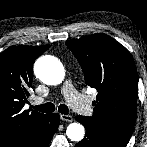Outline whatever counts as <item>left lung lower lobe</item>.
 I'll return each mask as SVG.
<instances>
[{"label":"left lung lower lobe","instance_id":"left-lung-lower-lobe-1","mask_svg":"<svg viewBox=\"0 0 147 147\" xmlns=\"http://www.w3.org/2000/svg\"><path fill=\"white\" fill-rule=\"evenodd\" d=\"M75 119L85 126L86 135L75 147H126L117 143L102 129L92 125L85 116H76Z\"/></svg>","mask_w":147,"mask_h":147}]
</instances>
